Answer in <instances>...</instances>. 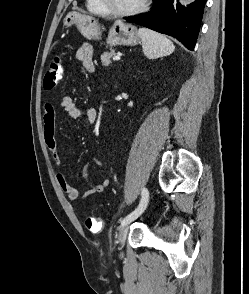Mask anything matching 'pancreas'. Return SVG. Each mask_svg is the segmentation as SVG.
Listing matches in <instances>:
<instances>
[{"label":"pancreas","instance_id":"cf45deb5","mask_svg":"<svg viewBox=\"0 0 249 294\" xmlns=\"http://www.w3.org/2000/svg\"><path fill=\"white\" fill-rule=\"evenodd\" d=\"M115 55V51L114 50H111V51H108V52H104L102 55H101V61H102V65L103 66H109L111 64V58Z\"/></svg>","mask_w":249,"mask_h":294}]
</instances>
